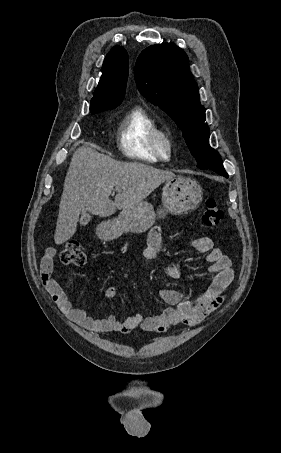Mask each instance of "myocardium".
Here are the masks:
<instances>
[{
	"mask_svg": "<svg viewBox=\"0 0 281 453\" xmlns=\"http://www.w3.org/2000/svg\"><path fill=\"white\" fill-rule=\"evenodd\" d=\"M153 147L161 160H169L173 156L174 142L172 137L163 130H158L152 139Z\"/></svg>",
	"mask_w": 281,
	"mask_h": 453,
	"instance_id": "obj_1",
	"label": "myocardium"
}]
</instances>
